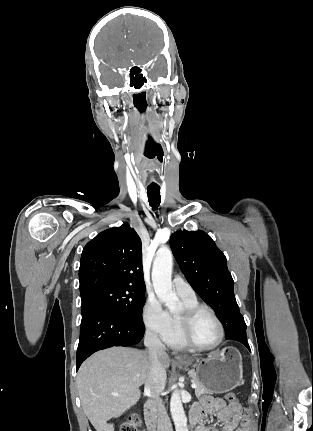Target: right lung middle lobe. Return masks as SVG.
Returning a JSON list of instances; mask_svg holds the SVG:
<instances>
[{
	"label": "right lung middle lobe",
	"mask_w": 313,
	"mask_h": 431,
	"mask_svg": "<svg viewBox=\"0 0 313 431\" xmlns=\"http://www.w3.org/2000/svg\"><path fill=\"white\" fill-rule=\"evenodd\" d=\"M145 290L132 286H115L96 291L82 298V314L103 307L117 311L130 320L143 325L142 311Z\"/></svg>",
	"instance_id": "dd1d6c3e"
}]
</instances>
